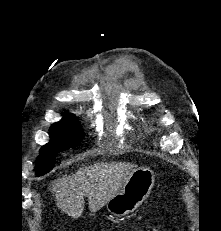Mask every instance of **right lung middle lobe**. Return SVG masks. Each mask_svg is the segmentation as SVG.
Returning <instances> with one entry per match:
<instances>
[{
	"mask_svg": "<svg viewBox=\"0 0 221 231\" xmlns=\"http://www.w3.org/2000/svg\"><path fill=\"white\" fill-rule=\"evenodd\" d=\"M49 135L51 140L41 148L36 161L35 171L39 175L50 170L59 151H64L81 142L83 130L77 119L64 118L50 127Z\"/></svg>",
	"mask_w": 221,
	"mask_h": 231,
	"instance_id": "right-lung-middle-lobe-1",
	"label": "right lung middle lobe"
}]
</instances>
